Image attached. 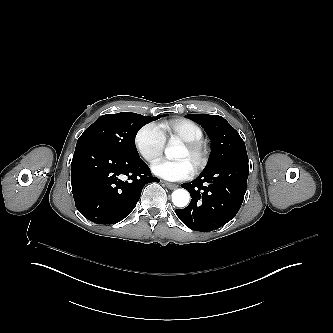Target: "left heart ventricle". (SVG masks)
Masks as SVG:
<instances>
[{"label": "left heart ventricle", "mask_w": 333, "mask_h": 333, "mask_svg": "<svg viewBox=\"0 0 333 333\" xmlns=\"http://www.w3.org/2000/svg\"><path fill=\"white\" fill-rule=\"evenodd\" d=\"M179 159L188 161L193 166L195 165V160H194L193 156L191 155V153L189 152V150L185 146H184V148L182 149V151L179 155Z\"/></svg>", "instance_id": "obj_1"}]
</instances>
